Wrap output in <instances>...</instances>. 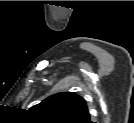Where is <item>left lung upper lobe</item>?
I'll list each match as a JSON object with an SVG mask.
<instances>
[{
  "label": "left lung upper lobe",
  "instance_id": "1",
  "mask_svg": "<svg viewBox=\"0 0 134 123\" xmlns=\"http://www.w3.org/2000/svg\"><path fill=\"white\" fill-rule=\"evenodd\" d=\"M42 118L58 123H90L85 100L74 92L49 96L31 108Z\"/></svg>",
  "mask_w": 134,
  "mask_h": 123
}]
</instances>
